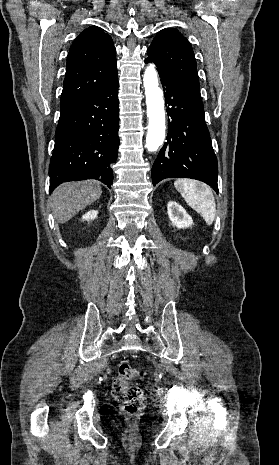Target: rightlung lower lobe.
<instances>
[{
    "label": "right lung lower lobe",
    "instance_id": "obj_1",
    "mask_svg": "<svg viewBox=\"0 0 279 465\" xmlns=\"http://www.w3.org/2000/svg\"><path fill=\"white\" fill-rule=\"evenodd\" d=\"M118 77L89 99L60 115L49 166L50 192L67 181L97 179L113 183L118 155Z\"/></svg>",
    "mask_w": 279,
    "mask_h": 465
}]
</instances>
